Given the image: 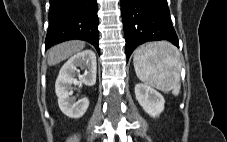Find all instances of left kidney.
I'll use <instances>...</instances> for the list:
<instances>
[{"label": "left kidney", "mask_w": 227, "mask_h": 142, "mask_svg": "<svg viewBox=\"0 0 227 142\" xmlns=\"http://www.w3.org/2000/svg\"><path fill=\"white\" fill-rule=\"evenodd\" d=\"M135 96L144 111L153 118L159 116L164 110L165 100L163 96L146 84H136Z\"/></svg>", "instance_id": "left-kidney-1"}]
</instances>
